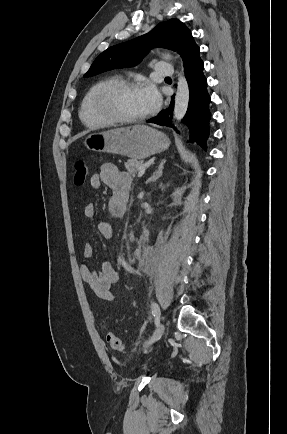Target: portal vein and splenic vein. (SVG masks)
<instances>
[{
	"label": "portal vein and splenic vein",
	"mask_w": 287,
	"mask_h": 434,
	"mask_svg": "<svg viewBox=\"0 0 287 434\" xmlns=\"http://www.w3.org/2000/svg\"><path fill=\"white\" fill-rule=\"evenodd\" d=\"M145 170H146L145 166L141 167L138 171V177H142L145 173Z\"/></svg>",
	"instance_id": "18ae733b"
}]
</instances>
